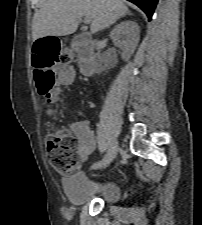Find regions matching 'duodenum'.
Segmentation results:
<instances>
[{
  "instance_id": "410a0bca",
  "label": "duodenum",
  "mask_w": 202,
  "mask_h": 225,
  "mask_svg": "<svg viewBox=\"0 0 202 225\" xmlns=\"http://www.w3.org/2000/svg\"><path fill=\"white\" fill-rule=\"evenodd\" d=\"M79 60V70L85 76H92L96 72L95 44L86 39H80L76 45Z\"/></svg>"
}]
</instances>
